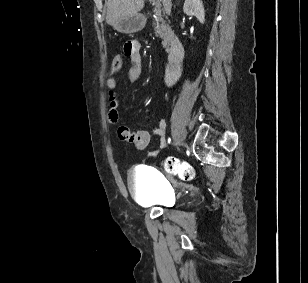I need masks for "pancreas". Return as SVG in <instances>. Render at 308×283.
<instances>
[{"label":"pancreas","instance_id":"cf45deb5","mask_svg":"<svg viewBox=\"0 0 308 283\" xmlns=\"http://www.w3.org/2000/svg\"><path fill=\"white\" fill-rule=\"evenodd\" d=\"M153 26L155 27V32L163 40L162 45L169 51L171 28L162 18L160 13L156 14V18L153 20Z\"/></svg>","mask_w":308,"mask_h":283}]
</instances>
